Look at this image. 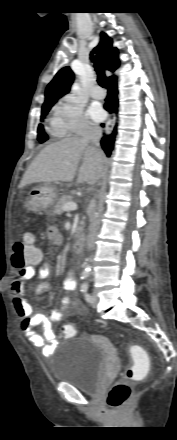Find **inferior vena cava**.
I'll return each instance as SVG.
<instances>
[{
  "mask_svg": "<svg viewBox=\"0 0 177 440\" xmlns=\"http://www.w3.org/2000/svg\"><path fill=\"white\" fill-rule=\"evenodd\" d=\"M102 136V129L100 127L87 126L83 133V140L92 143L97 149L100 147V138ZM94 208L89 215V233L87 238V248L91 250L94 247V238L98 228L96 202L93 200Z\"/></svg>",
  "mask_w": 177,
  "mask_h": 440,
  "instance_id": "obj_1",
  "label": "inferior vena cava"
}]
</instances>
